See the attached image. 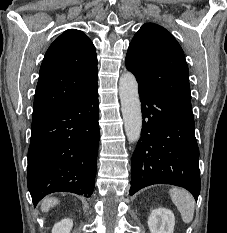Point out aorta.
<instances>
[{"mask_svg": "<svg viewBox=\"0 0 227 233\" xmlns=\"http://www.w3.org/2000/svg\"><path fill=\"white\" fill-rule=\"evenodd\" d=\"M119 96L126 136L129 142H137L141 136L142 113L138 94V83L130 72L119 80Z\"/></svg>", "mask_w": 227, "mask_h": 233, "instance_id": "1", "label": "aorta"}]
</instances>
